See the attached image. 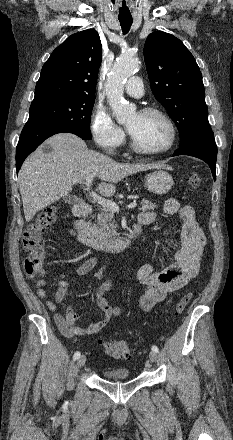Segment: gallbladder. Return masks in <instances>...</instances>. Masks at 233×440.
I'll return each mask as SVG.
<instances>
[{
	"label": "gallbladder",
	"mask_w": 233,
	"mask_h": 440,
	"mask_svg": "<svg viewBox=\"0 0 233 440\" xmlns=\"http://www.w3.org/2000/svg\"><path fill=\"white\" fill-rule=\"evenodd\" d=\"M63 200L68 204H75L78 201V198L74 195H67L63 197Z\"/></svg>",
	"instance_id": "gallbladder-1"
}]
</instances>
